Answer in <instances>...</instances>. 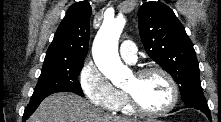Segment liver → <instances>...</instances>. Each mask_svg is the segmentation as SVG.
Returning a JSON list of instances; mask_svg holds the SVG:
<instances>
[{"label":"liver","mask_w":221,"mask_h":122,"mask_svg":"<svg viewBox=\"0 0 221 122\" xmlns=\"http://www.w3.org/2000/svg\"><path fill=\"white\" fill-rule=\"evenodd\" d=\"M27 122H138L112 116L72 93H55L45 98Z\"/></svg>","instance_id":"obj_1"}]
</instances>
